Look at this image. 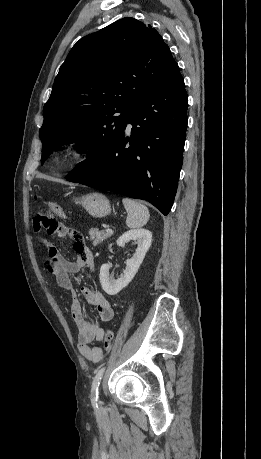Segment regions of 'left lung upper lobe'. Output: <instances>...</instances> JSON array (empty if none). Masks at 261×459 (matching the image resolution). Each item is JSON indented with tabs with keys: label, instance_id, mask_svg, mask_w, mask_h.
<instances>
[{
	"label": "left lung upper lobe",
	"instance_id": "left-lung-upper-lobe-1",
	"mask_svg": "<svg viewBox=\"0 0 261 459\" xmlns=\"http://www.w3.org/2000/svg\"><path fill=\"white\" fill-rule=\"evenodd\" d=\"M175 64L159 33L123 18L81 38L55 78L43 108L41 164L58 147H89L75 170L96 168L122 134L130 113Z\"/></svg>",
	"mask_w": 261,
	"mask_h": 459
}]
</instances>
